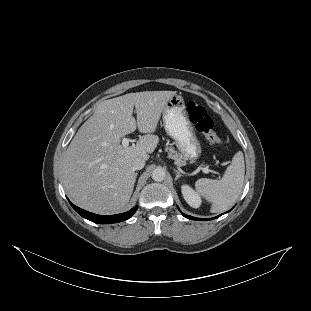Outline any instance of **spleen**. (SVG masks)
Masks as SVG:
<instances>
[{
	"label": "spleen",
	"instance_id": "3e777b00",
	"mask_svg": "<svg viewBox=\"0 0 311 311\" xmlns=\"http://www.w3.org/2000/svg\"><path fill=\"white\" fill-rule=\"evenodd\" d=\"M244 170L243 153L238 151L224 170L222 179L202 178L195 182L194 188L208 203L210 212H222L233 205L242 192Z\"/></svg>",
	"mask_w": 311,
	"mask_h": 311
}]
</instances>
